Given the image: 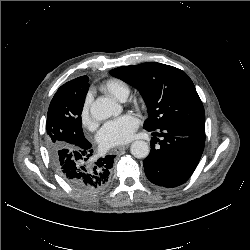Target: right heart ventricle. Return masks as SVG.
<instances>
[{
	"label": "right heart ventricle",
	"mask_w": 250,
	"mask_h": 250,
	"mask_svg": "<svg viewBox=\"0 0 250 250\" xmlns=\"http://www.w3.org/2000/svg\"><path fill=\"white\" fill-rule=\"evenodd\" d=\"M99 90L109 94L113 98L123 101L131 91L130 85L119 78H110L99 86Z\"/></svg>",
	"instance_id": "1"
}]
</instances>
